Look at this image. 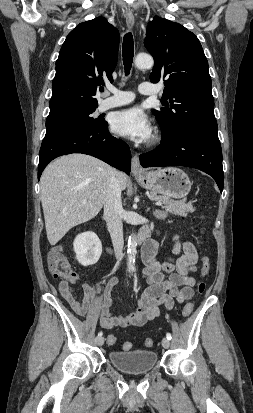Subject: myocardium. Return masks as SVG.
<instances>
[{"label": "myocardium", "mask_w": 253, "mask_h": 413, "mask_svg": "<svg viewBox=\"0 0 253 413\" xmlns=\"http://www.w3.org/2000/svg\"><path fill=\"white\" fill-rule=\"evenodd\" d=\"M159 141L158 136H155L152 140H151V144L154 145Z\"/></svg>", "instance_id": "myocardium-1"}]
</instances>
